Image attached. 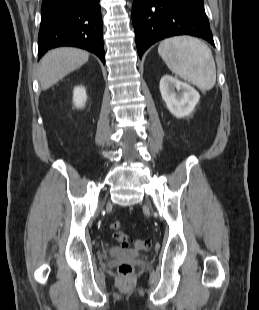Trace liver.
Segmentation results:
<instances>
[{
  "mask_svg": "<svg viewBox=\"0 0 259 310\" xmlns=\"http://www.w3.org/2000/svg\"><path fill=\"white\" fill-rule=\"evenodd\" d=\"M89 53L81 49L62 47L49 51L39 64L38 79L46 90L66 75L81 67L88 61Z\"/></svg>",
  "mask_w": 259,
  "mask_h": 310,
  "instance_id": "liver-1",
  "label": "liver"
}]
</instances>
